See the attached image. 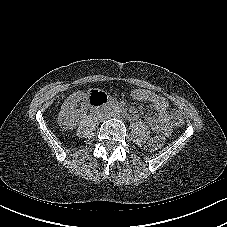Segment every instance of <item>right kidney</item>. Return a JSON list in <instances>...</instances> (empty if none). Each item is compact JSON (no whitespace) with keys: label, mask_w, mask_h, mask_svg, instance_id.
Segmentation results:
<instances>
[{"label":"right kidney","mask_w":227,"mask_h":227,"mask_svg":"<svg viewBox=\"0 0 227 227\" xmlns=\"http://www.w3.org/2000/svg\"><path fill=\"white\" fill-rule=\"evenodd\" d=\"M82 94H73L71 95L62 105L60 114H59V121L62 125L66 128H71L76 126L77 124V116L75 115L77 102L82 99Z\"/></svg>","instance_id":"obj_1"}]
</instances>
